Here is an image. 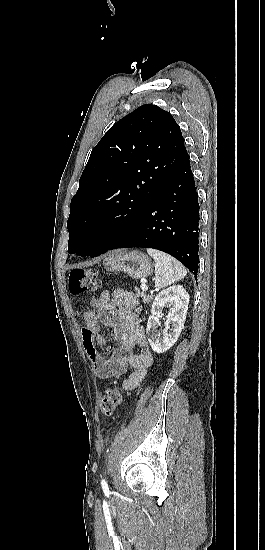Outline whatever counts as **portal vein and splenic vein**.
<instances>
[{
  "label": "portal vein and splenic vein",
  "mask_w": 265,
  "mask_h": 550,
  "mask_svg": "<svg viewBox=\"0 0 265 550\" xmlns=\"http://www.w3.org/2000/svg\"><path fill=\"white\" fill-rule=\"evenodd\" d=\"M141 289H142V291H147L148 287L145 283H142Z\"/></svg>",
  "instance_id": "portal-vein-and-splenic-vein-1"
}]
</instances>
